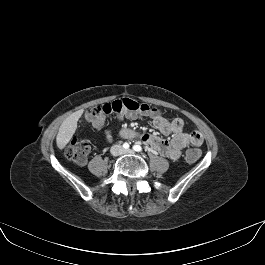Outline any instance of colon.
<instances>
[{
    "label": "colon",
    "mask_w": 265,
    "mask_h": 265,
    "mask_svg": "<svg viewBox=\"0 0 265 265\" xmlns=\"http://www.w3.org/2000/svg\"><path fill=\"white\" fill-rule=\"evenodd\" d=\"M159 111L146 103L138 102L130 98H121L106 103L101 106L91 108L87 114L86 119L94 126L102 124L105 116L110 114H136L140 116H153ZM91 149V143L87 139L73 138L65 147V156L78 164L86 162L88 154ZM201 156V151L198 148H191L186 152V159L189 162H195Z\"/></svg>",
    "instance_id": "1"
}]
</instances>
